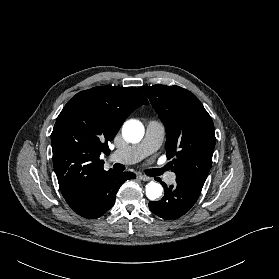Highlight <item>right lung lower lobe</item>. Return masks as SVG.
Instances as JSON below:
<instances>
[{
  "mask_svg": "<svg viewBox=\"0 0 279 279\" xmlns=\"http://www.w3.org/2000/svg\"><path fill=\"white\" fill-rule=\"evenodd\" d=\"M135 174L130 172L117 173L112 170L102 175L89 198L74 211L81 217L95 219L106 213L115 203L119 187L128 179H135Z\"/></svg>",
  "mask_w": 279,
  "mask_h": 279,
  "instance_id": "1",
  "label": "right lung lower lobe"
}]
</instances>
